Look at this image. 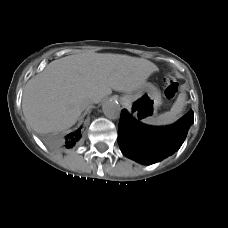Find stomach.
Returning a JSON list of instances; mask_svg holds the SVG:
<instances>
[{
	"label": "stomach",
	"mask_w": 228,
	"mask_h": 228,
	"mask_svg": "<svg viewBox=\"0 0 228 228\" xmlns=\"http://www.w3.org/2000/svg\"><path fill=\"white\" fill-rule=\"evenodd\" d=\"M131 104L137 106L135 115L146 121L154 117L162 103L159 90L152 83H144L135 94L129 97Z\"/></svg>",
	"instance_id": "obj_1"
}]
</instances>
